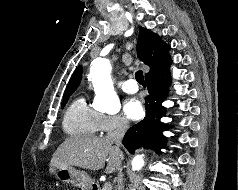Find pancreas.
I'll use <instances>...</instances> for the list:
<instances>
[{"mask_svg": "<svg viewBox=\"0 0 238 190\" xmlns=\"http://www.w3.org/2000/svg\"><path fill=\"white\" fill-rule=\"evenodd\" d=\"M98 190H112V187H106L105 185H104V187L101 189V188H99Z\"/></svg>", "mask_w": 238, "mask_h": 190, "instance_id": "cf45deb5", "label": "pancreas"}]
</instances>
